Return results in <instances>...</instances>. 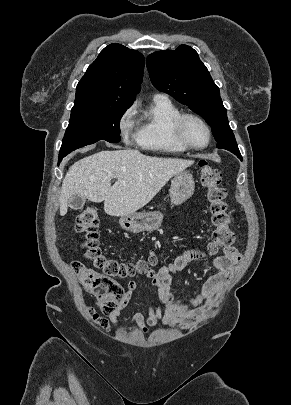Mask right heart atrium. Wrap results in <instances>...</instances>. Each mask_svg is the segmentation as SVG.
I'll return each instance as SVG.
<instances>
[{"label":"right heart atrium","mask_w":291,"mask_h":405,"mask_svg":"<svg viewBox=\"0 0 291 405\" xmlns=\"http://www.w3.org/2000/svg\"><path fill=\"white\" fill-rule=\"evenodd\" d=\"M122 139L126 143H131L137 139L135 108L128 107L120 116L118 122Z\"/></svg>","instance_id":"1"}]
</instances>
